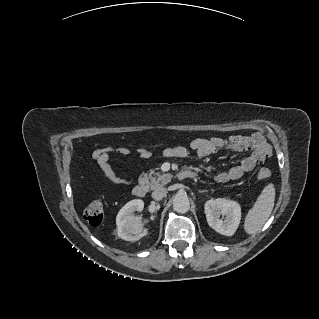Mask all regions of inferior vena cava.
<instances>
[{"label":"inferior vena cava","instance_id":"obj_1","mask_svg":"<svg viewBox=\"0 0 319 319\" xmlns=\"http://www.w3.org/2000/svg\"><path fill=\"white\" fill-rule=\"evenodd\" d=\"M166 194H167V189L164 187H159L152 192V198L158 201V200H161L163 197H165Z\"/></svg>","mask_w":319,"mask_h":319}]
</instances>
